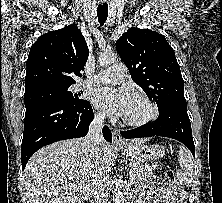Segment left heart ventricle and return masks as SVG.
Segmentation results:
<instances>
[{
    "instance_id": "b2bd125f",
    "label": "left heart ventricle",
    "mask_w": 222,
    "mask_h": 203,
    "mask_svg": "<svg viewBox=\"0 0 222 203\" xmlns=\"http://www.w3.org/2000/svg\"><path fill=\"white\" fill-rule=\"evenodd\" d=\"M149 114V107L141 100L131 97L124 117L130 120H140Z\"/></svg>"
}]
</instances>
